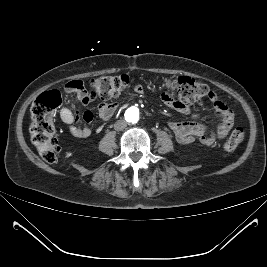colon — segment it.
<instances>
[{
	"mask_svg": "<svg viewBox=\"0 0 267 267\" xmlns=\"http://www.w3.org/2000/svg\"><path fill=\"white\" fill-rule=\"evenodd\" d=\"M134 81L130 75H108L95 77L87 81L86 87L90 98H99L107 102L118 98L129 88ZM163 90L168 91L183 103H192L204 98H212L214 93L209 87L196 79L188 76L163 79ZM61 102L60 93L50 90L41 94L31 107L30 136L41 158L49 164L57 161L60 147L55 137L56 127L54 114ZM244 139V129L235 128L224 141L226 150L235 149Z\"/></svg>",
	"mask_w": 267,
	"mask_h": 267,
	"instance_id": "obj_1",
	"label": "colon"
}]
</instances>
